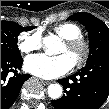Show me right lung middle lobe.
<instances>
[{"mask_svg": "<svg viewBox=\"0 0 109 109\" xmlns=\"http://www.w3.org/2000/svg\"><path fill=\"white\" fill-rule=\"evenodd\" d=\"M34 28L35 27H22L15 22L1 21V55L20 56L17 37L20 32Z\"/></svg>", "mask_w": 109, "mask_h": 109, "instance_id": "right-lung-middle-lobe-1", "label": "right lung middle lobe"}]
</instances>
